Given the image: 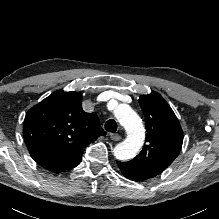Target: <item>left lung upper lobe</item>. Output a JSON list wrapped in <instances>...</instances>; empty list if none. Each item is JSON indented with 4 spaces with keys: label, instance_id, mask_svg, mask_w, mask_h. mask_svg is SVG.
<instances>
[{
    "label": "left lung upper lobe",
    "instance_id": "left-lung-upper-lobe-1",
    "mask_svg": "<svg viewBox=\"0 0 219 219\" xmlns=\"http://www.w3.org/2000/svg\"><path fill=\"white\" fill-rule=\"evenodd\" d=\"M139 104L146 120V144L134 159L117 164L143 181L161 174L176 159L182 147L183 131L160 94L142 95Z\"/></svg>",
    "mask_w": 219,
    "mask_h": 219
}]
</instances>
